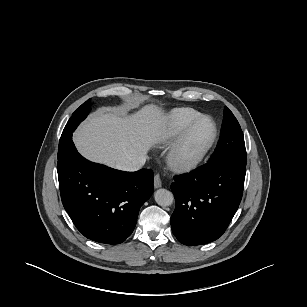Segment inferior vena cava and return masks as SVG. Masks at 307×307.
I'll return each instance as SVG.
<instances>
[{
  "label": "inferior vena cava",
  "mask_w": 307,
  "mask_h": 307,
  "mask_svg": "<svg viewBox=\"0 0 307 307\" xmlns=\"http://www.w3.org/2000/svg\"><path fill=\"white\" fill-rule=\"evenodd\" d=\"M145 161H146V158L141 157L130 163H126L124 165H118L117 169L123 170V171H130V172L137 171L142 168V166L145 164Z\"/></svg>",
  "instance_id": "inferior-vena-cava-1"
}]
</instances>
